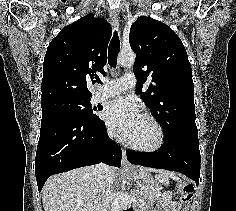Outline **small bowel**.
<instances>
[{"label":"small bowel","instance_id":"small-bowel-1","mask_svg":"<svg viewBox=\"0 0 236 211\" xmlns=\"http://www.w3.org/2000/svg\"><path fill=\"white\" fill-rule=\"evenodd\" d=\"M128 211H134V210H128ZM150 211H184V208L178 209L176 203L167 199H161L158 206Z\"/></svg>","mask_w":236,"mask_h":211}]
</instances>
